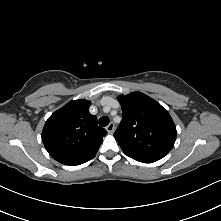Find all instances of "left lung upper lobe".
Here are the masks:
<instances>
[{
    "mask_svg": "<svg viewBox=\"0 0 221 221\" xmlns=\"http://www.w3.org/2000/svg\"><path fill=\"white\" fill-rule=\"evenodd\" d=\"M122 121L114 137L127 156L159 160L174 146L176 127L158 102L141 92L119 96Z\"/></svg>",
    "mask_w": 221,
    "mask_h": 221,
    "instance_id": "obj_1",
    "label": "left lung upper lobe"
}]
</instances>
